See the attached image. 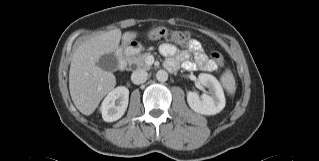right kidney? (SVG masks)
<instances>
[{
  "label": "right kidney",
  "mask_w": 319,
  "mask_h": 161,
  "mask_svg": "<svg viewBox=\"0 0 319 161\" xmlns=\"http://www.w3.org/2000/svg\"><path fill=\"white\" fill-rule=\"evenodd\" d=\"M129 102V90L125 86H118L105 97L101 104L102 118L106 122L120 119L125 113Z\"/></svg>",
  "instance_id": "right-kidney-1"
}]
</instances>
